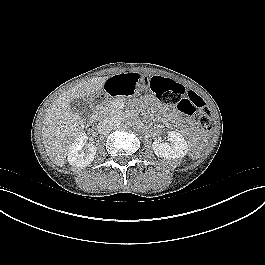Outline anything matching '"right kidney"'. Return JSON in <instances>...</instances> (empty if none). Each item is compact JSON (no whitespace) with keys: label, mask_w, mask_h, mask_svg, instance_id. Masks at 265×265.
I'll use <instances>...</instances> for the list:
<instances>
[{"label":"right kidney","mask_w":265,"mask_h":265,"mask_svg":"<svg viewBox=\"0 0 265 265\" xmlns=\"http://www.w3.org/2000/svg\"><path fill=\"white\" fill-rule=\"evenodd\" d=\"M88 137L85 133L79 134L69 147L67 153V161L70 165L75 167H86L91 164L96 155L97 148L93 144L87 146L86 153L81 152L84 145H86Z\"/></svg>","instance_id":"right-kidney-1"}]
</instances>
